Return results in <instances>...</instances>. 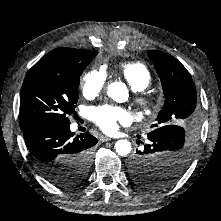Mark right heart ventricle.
Instances as JSON below:
<instances>
[{
	"label": "right heart ventricle",
	"instance_id": "obj_1",
	"mask_svg": "<svg viewBox=\"0 0 221 221\" xmlns=\"http://www.w3.org/2000/svg\"><path fill=\"white\" fill-rule=\"evenodd\" d=\"M119 73L135 91L144 90L151 83V73L148 67L139 61L121 63Z\"/></svg>",
	"mask_w": 221,
	"mask_h": 221
}]
</instances>
